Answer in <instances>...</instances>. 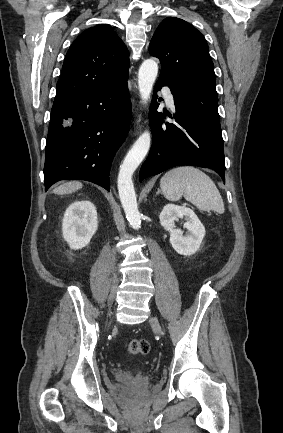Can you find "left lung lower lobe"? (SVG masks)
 Returning <instances> with one entry per match:
<instances>
[{"label": "left lung lower lobe", "instance_id": "0a47b994", "mask_svg": "<svg viewBox=\"0 0 283 433\" xmlns=\"http://www.w3.org/2000/svg\"><path fill=\"white\" fill-rule=\"evenodd\" d=\"M168 86L174 96L176 111L167 114L173 123L165 122L166 114L157 112L156 92ZM181 88L159 77L154 87L150 113L153 144L143 163L140 182L166 169L192 165L215 170L225 181V161L220 120L202 116L180 105Z\"/></svg>", "mask_w": 283, "mask_h": 433}]
</instances>
